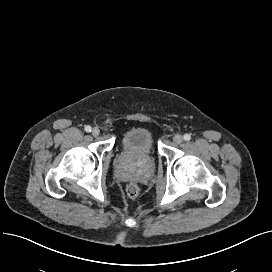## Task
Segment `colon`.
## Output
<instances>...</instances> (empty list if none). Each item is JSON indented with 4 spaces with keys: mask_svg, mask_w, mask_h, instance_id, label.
Wrapping results in <instances>:
<instances>
[{
    "mask_svg": "<svg viewBox=\"0 0 272 272\" xmlns=\"http://www.w3.org/2000/svg\"><path fill=\"white\" fill-rule=\"evenodd\" d=\"M126 192H127V195L130 197V198H135L138 196L139 192H140V189H139V186L135 183H131L127 186L126 188Z\"/></svg>",
    "mask_w": 272,
    "mask_h": 272,
    "instance_id": "colon-1",
    "label": "colon"
}]
</instances>
